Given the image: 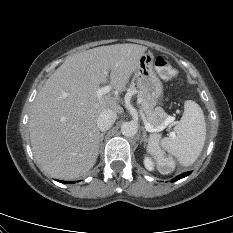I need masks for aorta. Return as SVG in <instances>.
I'll return each mask as SVG.
<instances>
[{"instance_id": "aorta-1", "label": "aorta", "mask_w": 233, "mask_h": 233, "mask_svg": "<svg viewBox=\"0 0 233 233\" xmlns=\"http://www.w3.org/2000/svg\"><path fill=\"white\" fill-rule=\"evenodd\" d=\"M138 131V127L133 122H124L121 125V132L126 137H133Z\"/></svg>"}]
</instances>
